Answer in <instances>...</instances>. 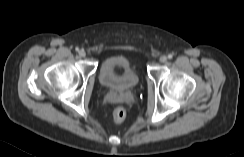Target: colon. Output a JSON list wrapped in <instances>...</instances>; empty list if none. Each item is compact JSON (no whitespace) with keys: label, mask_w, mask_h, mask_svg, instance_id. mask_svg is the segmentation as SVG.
<instances>
[{"label":"colon","mask_w":244,"mask_h":157,"mask_svg":"<svg viewBox=\"0 0 244 157\" xmlns=\"http://www.w3.org/2000/svg\"><path fill=\"white\" fill-rule=\"evenodd\" d=\"M126 117V110L122 106H118L114 109L112 114V120L115 123H121Z\"/></svg>","instance_id":"1"}]
</instances>
